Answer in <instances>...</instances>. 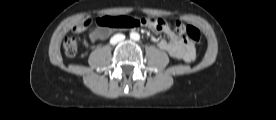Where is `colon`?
Wrapping results in <instances>:
<instances>
[{
  "label": "colon",
  "instance_id": "obj_1",
  "mask_svg": "<svg viewBox=\"0 0 276 120\" xmlns=\"http://www.w3.org/2000/svg\"><path fill=\"white\" fill-rule=\"evenodd\" d=\"M98 25L103 29H123L135 27L139 24L148 25L156 30L162 29L165 21L161 18H142L140 20L128 16H103L97 20ZM88 25V22L81 24L77 29L82 30ZM174 32L190 41L199 42L201 38L200 31L194 26H186L180 22L175 23ZM64 52L69 57H74L78 51L77 39L68 36L63 42Z\"/></svg>",
  "mask_w": 276,
  "mask_h": 120
}]
</instances>
